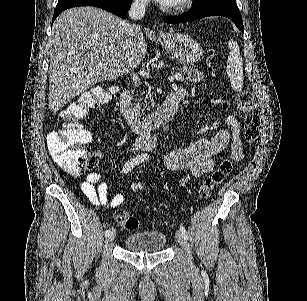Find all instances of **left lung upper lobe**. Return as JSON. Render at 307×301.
Listing matches in <instances>:
<instances>
[{"instance_id":"5c2ea615","label":"left lung upper lobe","mask_w":307,"mask_h":301,"mask_svg":"<svg viewBox=\"0 0 307 301\" xmlns=\"http://www.w3.org/2000/svg\"><path fill=\"white\" fill-rule=\"evenodd\" d=\"M208 5H224L238 8L235 0H195L192 8L204 7Z\"/></svg>"}]
</instances>
